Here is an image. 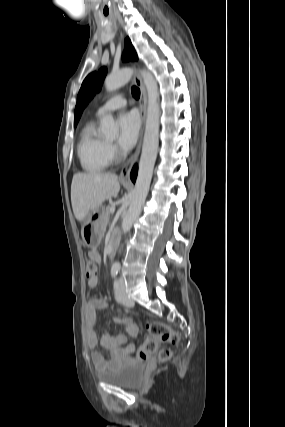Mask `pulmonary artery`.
<instances>
[{"mask_svg":"<svg viewBox=\"0 0 285 427\" xmlns=\"http://www.w3.org/2000/svg\"><path fill=\"white\" fill-rule=\"evenodd\" d=\"M127 100L123 94H116L102 104L96 111V116L100 117L105 113L122 108L126 105Z\"/></svg>","mask_w":285,"mask_h":427,"instance_id":"pulmonary-artery-1","label":"pulmonary artery"}]
</instances>
